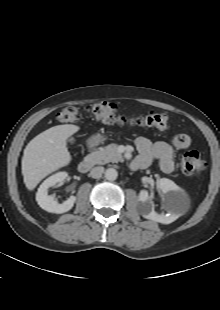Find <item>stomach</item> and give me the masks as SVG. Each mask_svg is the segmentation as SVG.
<instances>
[{
  "mask_svg": "<svg viewBox=\"0 0 220 310\" xmlns=\"http://www.w3.org/2000/svg\"><path fill=\"white\" fill-rule=\"evenodd\" d=\"M101 141H103V138L101 136H99V135L93 136L92 139H91V143H95V144L99 143Z\"/></svg>",
  "mask_w": 220,
  "mask_h": 310,
  "instance_id": "obj_1",
  "label": "stomach"
}]
</instances>
